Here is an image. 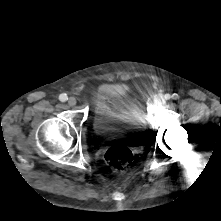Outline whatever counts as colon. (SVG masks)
<instances>
[{
  "instance_id": "1",
  "label": "colon",
  "mask_w": 221,
  "mask_h": 221,
  "mask_svg": "<svg viewBox=\"0 0 221 221\" xmlns=\"http://www.w3.org/2000/svg\"><path fill=\"white\" fill-rule=\"evenodd\" d=\"M106 164L116 173L128 169L132 163L133 155L131 150L122 144H114L105 152Z\"/></svg>"
}]
</instances>
